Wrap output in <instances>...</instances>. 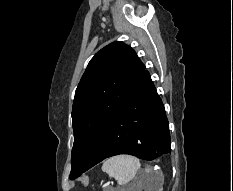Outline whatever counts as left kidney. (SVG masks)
I'll list each match as a JSON object with an SVG mask.
<instances>
[{"label": "left kidney", "instance_id": "1", "mask_svg": "<svg viewBox=\"0 0 233 191\" xmlns=\"http://www.w3.org/2000/svg\"><path fill=\"white\" fill-rule=\"evenodd\" d=\"M139 184H141V186H148V188H155L156 189L155 191H161L160 188H161L162 183L161 182H157L155 184H149L147 177L142 178L139 181ZM150 185L154 186V187H150Z\"/></svg>", "mask_w": 233, "mask_h": 191}]
</instances>
